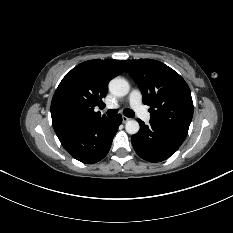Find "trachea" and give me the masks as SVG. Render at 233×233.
<instances>
[{"label": "trachea", "mask_w": 233, "mask_h": 233, "mask_svg": "<svg viewBox=\"0 0 233 233\" xmlns=\"http://www.w3.org/2000/svg\"><path fill=\"white\" fill-rule=\"evenodd\" d=\"M123 113H124V115H125L126 117H129V118H132V117L135 116V113H134L131 109H128V108L124 109ZM106 114H107L108 116H114V115L117 114V110H115V109H110V110H108V111L106 112Z\"/></svg>", "instance_id": "obj_1"}]
</instances>
